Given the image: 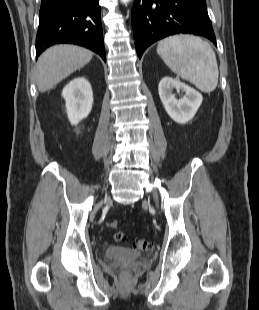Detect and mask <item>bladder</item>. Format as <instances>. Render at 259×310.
I'll return each instance as SVG.
<instances>
[{
    "label": "bladder",
    "instance_id": "obj_1",
    "mask_svg": "<svg viewBox=\"0 0 259 310\" xmlns=\"http://www.w3.org/2000/svg\"><path fill=\"white\" fill-rule=\"evenodd\" d=\"M104 255L108 259L136 260L141 258L142 254L126 249L120 246L110 245L104 250Z\"/></svg>",
    "mask_w": 259,
    "mask_h": 310
}]
</instances>
